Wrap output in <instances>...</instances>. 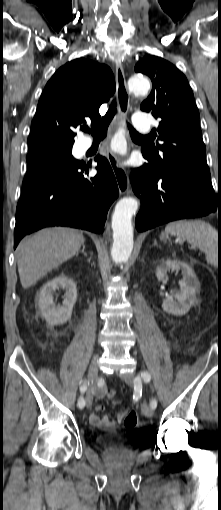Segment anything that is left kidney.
Returning a JSON list of instances; mask_svg holds the SVG:
<instances>
[{"instance_id":"left-kidney-1","label":"left kidney","mask_w":221,"mask_h":510,"mask_svg":"<svg viewBox=\"0 0 221 510\" xmlns=\"http://www.w3.org/2000/svg\"><path fill=\"white\" fill-rule=\"evenodd\" d=\"M169 270H181L180 290L163 300L162 309L172 315H185L193 305L200 285L192 268L179 260H163L156 269L158 281H162Z\"/></svg>"}]
</instances>
